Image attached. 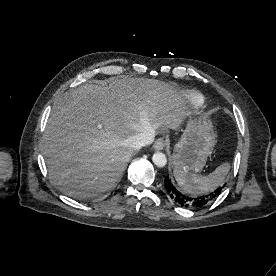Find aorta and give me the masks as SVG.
Masks as SVG:
<instances>
[{
	"mask_svg": "<svg viewBox=\"0 0 276 276\" xmlns=\"http://www.w3.org/2000/svg\"><path fill=\"white\" fill-rule=\"evenodd\" d=\"M152 161L157 167H164L167 164V157L162 152H156L152 156Z\"/></svg>",
	"mask_w": 276,
	"mask_h": 276,
	"instance_id": "1",
	"label": "aorta"
}]
</instances>
